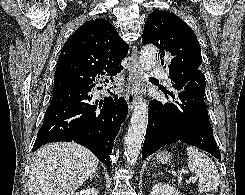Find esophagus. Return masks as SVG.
<instances>
[{
  "label": "esophagus",
  "mask_w": 245,
  "mask_h": 195,
  "mask_svg": "<svg viewBox=\"0 0 245 195\" xmlns=\"http://www.w3.org/2000/svg\"><path fill=\"white\" fill-rule=\"evenodd\" d=\"M128 70L129 84L126 92V101L128 103L129 109L132 111L139 94V84L142 75L141 68L138 62V51L136 46L134 47L132 55L129 59Z\"/></svg>",
  "instance_id": "obj_1"
}]
</instances>
